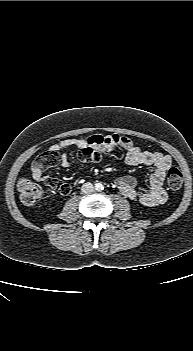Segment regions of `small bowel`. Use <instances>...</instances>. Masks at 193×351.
<instances>
[{
	"label": "small bowel",
	"instance_id": "1",
	"mask_svg": "<svg viewBox=\"0 0 193 351\" xmlns=\"http://www.w3.org/2000/svg\"><path fill=\"white\" fill-rule=\"evenodd\" d=\"M98 137L102 139L101 144ZM84 146H86L84 140L70 138L52 144L49 147V151L61 153V166L64 168H70L68 155L64 151L68 148H83ZM87 146L90 149H98L99 152L103 153L111 152L116 148H121L125 151V162L128 165L152 168L148 181V189L146 191H139L135 179L130 176L118 178L115 183L123 196L138 201L140 204L147 207L161 205L166 202L167 194L163 188V182L166 172L172 165V159L170 156L158 152L143 150L135 145L129 138L119 135L90 136L87 139ZM32 176L34 179L43 181L50 186L49 181L51 178L45 176L42 172L32 171Z\"/></svg>",
	"mask_w": 193,
	"mask_h": 351
}]
</instances>
